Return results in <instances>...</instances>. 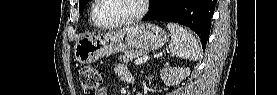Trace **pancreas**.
I'll list each match as a JSON object with an SVG mask.
<instances>
[{
	"instance_id": "1",
	"label": "pancreas",
	"mask_w": 277,
	"mask_h": 95,
	"mask_svg": "<svg viewBox=\"0 0 277 95\" xmlns=\"http://www.w3.org/2000/svg\"><path fill=\"white\" fill-rule=\"evenodd\" d=\"M146 51L142 50H127L124 55L119 56V59L123 60L124 63L130 61V60H136L138 58H141L142 56L146 55Z\"/></svg>"
}]
</instances>
